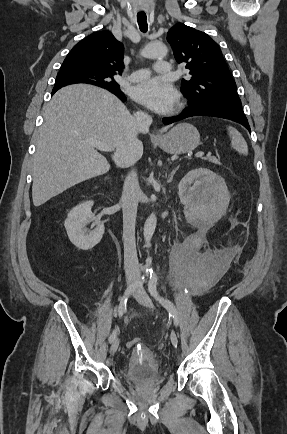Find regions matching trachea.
<instances>
[{
  "label": "trachea",
  "instance_id": "3493384b",
  "mask_svg": "<svg viewBox=\"0 0 287 434\" xmlns=\"http://www.w3.org/2000/svg\"><path fill=\"white\" fill-rule=\"evenodd\" d=\"M137 22L139 25V29L145 33L148 30V24H147V16L145 13H139L137 14Z\"/></svg>",
  "mask_w": 287,
  "mask_h": 434
}]
</instances>
